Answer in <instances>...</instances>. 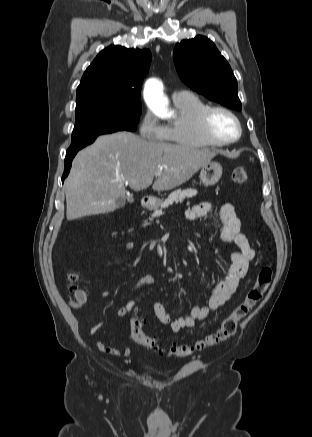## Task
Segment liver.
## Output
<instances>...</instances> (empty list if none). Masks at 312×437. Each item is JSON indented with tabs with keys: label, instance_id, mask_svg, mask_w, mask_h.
Here are the masks:
<instances>
[{
	"label": "liver",
	"instance_id": "1",
	"mask_svg": "<svg viewBox=\"0 0 312 437\" xmlns=\"http://www.w3.org/2000/svg\"><path fill=\"white\" fill-rule=\"evenodd\" d=\"M217 151L146 141L130 132L99 136L78 152L65 180L69 221L114 211L125 198V185L153 190L173 189L188 181Z\"/></svg>",
	"mask_w": 312,
	"mask_h": 437
}]
</instances>
